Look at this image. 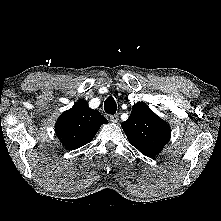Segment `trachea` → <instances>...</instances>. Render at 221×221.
<instances>
[{
    "mask_svg": "<svg viewBox=\"0 0 221 221\" xmlns=\"http://www.w3.org/2000/svg\"><path fill=\"white\" fill-rule=\"evenodd\" d=\"M104 110L107 114L114 115L117 110V105L112 96L108 97L104 102Z\"/></svg>",
    "mask_w": 221,
    "mask_h": 221,
    "instance_id": "obj_1",
    "label": "trachea"
}]
</instances>
